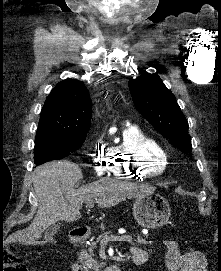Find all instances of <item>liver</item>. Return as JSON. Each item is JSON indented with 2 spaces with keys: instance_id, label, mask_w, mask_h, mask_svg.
Here are the masks:
<instances>
[{
  "instance_id": "obj_1",
  "label": "liver",
  "mask_w": 221,
  "mask_h": 271,
  "mask_svg": "<svg viewBox=\"0 0 221 271\" xmlns=\"http://www.w3.org/2000/svg\"><path fill=\"white\" fill-rule=\"evenodd\" d=\"M82 177L77 163L58 159L47 161L35 167L32 175L33 187L38 197V209L32 223L26 229L15 231L10 241H19L22 245L45 243L38 241L43 231L57 221H76L80 219L79 211L83 201L99 197V207H113L125 197H138L142 191L130 181L101 177L93 183L75 189V183Z\"/></svg>"
}]
</instances>
